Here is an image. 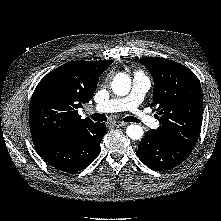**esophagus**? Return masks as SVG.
<instances>
[{
    "label": "esophagus",
    "mask_w": 221,
    "mask_h": 221,
    "mask_svg": "<svg viewBox=\"0 0 221 221\" xmlns=\"http://www.w3.org/2000/svg\"><path fill=\"white\" fill-rule=\"evenodd\" d=\"M112 125L115 126V127H122V126L127 125V123L123 122V121L115 120V121L112 122Z\"/></svg>",
    "instance_id": "esophagus-1"
}]
</instances>
